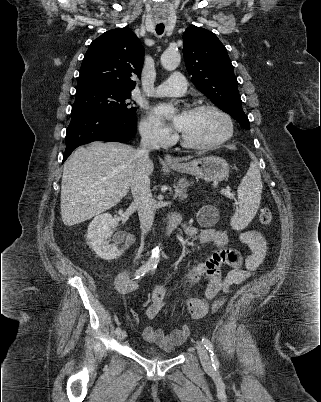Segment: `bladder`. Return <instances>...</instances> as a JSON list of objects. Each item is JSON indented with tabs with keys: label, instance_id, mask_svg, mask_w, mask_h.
<instances>
[{
	"label": "bladder",
	"instance_id": "1",
	"mask_svg": "<svg viewBox=\"0 0 321 402\" xmlns=\"http://www.w3.org/2000/svg\"><path fill=\"white\" fill-rule=\"evenodd\" d=\"M146 355L151 358H169L172 356L171 353H166L162 350L156 348H147L145 351Z\"/></svg>",
	"mask_w": 321,
	"mask_h": 402
}]
</instances>
